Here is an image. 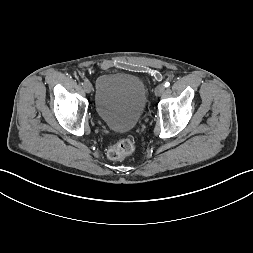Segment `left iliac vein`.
<instances>
[{"mask_svg": "<svg viewBox=\"0 0 253 253\" xmlns=\"http://www.w3.org/2000/svg\"><path fill=\"white\" fill-rule=\"evenodd\" d=\"M165 91V86L164 84H159L156 88H155V95L156 96H161Z\"/></svg>", "mask_w": 253, "mask_h": 253, "instance_id": "4c4485c4", "label": "left iliac vein"}]
</instances>
